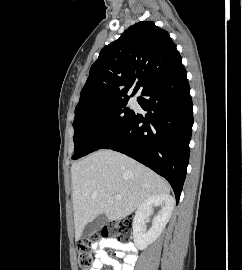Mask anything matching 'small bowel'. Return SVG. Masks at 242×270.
<instances>
[{"mask_svg":"<svg viewBox=\"0 0 242 270\" xmlns=\"http://www.w3.org/2000/svg\"><path fill=\"white\" fill-rule=\"evenodd\" d=\"M95 247V260L91 270H102L106 265L112 266L113 270H134L136 263V247L134 243L104 239L95 244ZM106 249H113L115 257L122 259L123 263H119L116 259L110 257Z\"/></svg>","mask_w":242,"mask_h":270,"instance_id":"c3829d8e","label":"small bowel"}]
</instances>
